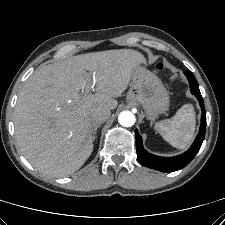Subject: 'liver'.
<instances>
[{"label": "liver", "mask_w": 225, "mask_h": 225, "mask_svg": "<svg viewBox=\"0 0 225 225\" xmlns=\"http://www.w3.org/2000/svg\"><path fill=\"white\" fill-rule=\"evenodd\" d=\"M145 57L133 49L69 57L39 67L24 82L14 111L17 144L38 171L64 177L93 151L91 111L113 110ZM95 83L96 93L89 86Z\"/></svg>", "instance_id": "liver-1"}]
</instances>
